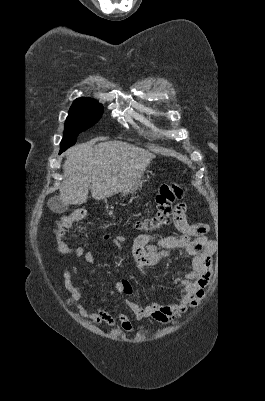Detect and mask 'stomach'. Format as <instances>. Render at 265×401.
Segmentation results:
<instances>
[{"mask_svg": "<svg viewBox=\"0 0 265 401\" xmlns=\"http://www.w3.org/2000/svg\"><path fill=\"white\" fill-rule=\"evenodd\" d=\"M142 176L143 172H141V174H139V176H137V178H135L131 184H128L124 190H121L122 196H126V194H132V192H135L142 182Z\"/></svg>", "mask_w": 265, "mask_h": 401, "instance_id": "0dacf381", "label": "stomach"}]
</instances>
